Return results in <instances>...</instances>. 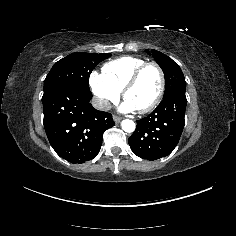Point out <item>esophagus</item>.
<instances>
[{
  "instance_id": "1",
  "label": "esophagus",
  "mask_w": 236,
  "mask_h": 236,
  "mask_svg": "<svg viewBox=\"0 0 236 236\" xmlns=\"http://www.w3.org/2000/svg\"><path fill=\"white\" fill-rule=\"evenodd\" d=\"M113 119H114V121H115L116 123H119L122 118H121L120 116L114 115V116H113Z\"/></svg>"
}]
</instances>
